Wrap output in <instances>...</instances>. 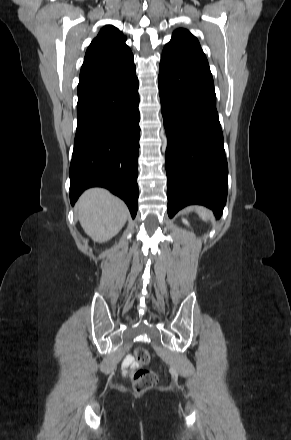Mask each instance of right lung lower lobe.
<instances>
[{
  "label": "right lung lower lobe",
  "instance_id": "obj_1",
  "mask_svg": "<svg viewBox=\"0 0 291 440\" xmlns=\"http://www.w3.org/2000/svg\"><path fill=\"white\" fill-rule=\"evenodd\" d=\"M136 68L121 75L78 84L77 129L70 164V201L100 186L138 207L140 127Z\"/></svg>",
  "mask_w": 291,
  "mask_h": 440
}]
</instances>
